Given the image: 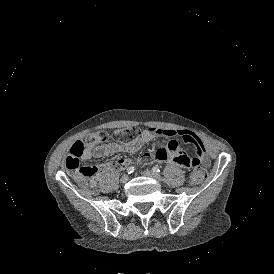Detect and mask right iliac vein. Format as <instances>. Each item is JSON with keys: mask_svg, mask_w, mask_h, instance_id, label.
<instances>
[{"mask_svg": "<svg viewBox=\"0 0 274 274\" xmlns=\"http://www.w3.org/2000/svg\"><path fill=\"white\" fill-rule=\"evenodd\" d=\"M128 180L129 176L127 174H124L120 179L121 183H126Z\"/></svg>", "mask_w": 274, "mask_h": 274, "instance_id": "right-iliac-vein-1", "label": "right iliac vein"}]
</instances>
